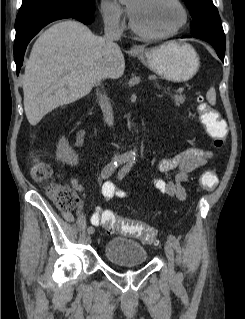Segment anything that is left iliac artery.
<instances>
[{
  "label": "left iliac artery",
  "instance_id": "44dca946",
  "mask_svg": "<svg viewBox=\"0 0 245 319\" xmlns=\"http://www.w3.org/2000/svg\"><path fill=\"white\" fill-rule=\"evenodd\" d=\"M133 163H134V161L132 159L129 160V162L119 171V173H118L119 179H122L131 170ZM167 239H168V242L170 243V245L174 249H176L177 251L180 250L179 240L174 235H169ZM178 278L181 279L182 274H179Z\"/></svg>",
  "mask_w": 245,
  "mask_h": 319
}]
</instances>
